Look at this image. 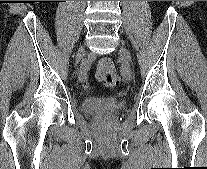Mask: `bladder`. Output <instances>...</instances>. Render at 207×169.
I'll return each instance as SVG.
<instances>
[{"label":"bladder","instance_id":"bladder-1","mask_svg":"<svg viewBox=\"0 0 207 169\" xmlns=\"http://www.w3.org/2000/svg\"><path fill=\"white\" fill-rule=\"evenodd\" d=\"M123 106V102L116 97L87 96L82 101V107L88 113L117 112Z\"/></svg>","mask_w":207,"mask_h":169}]
</instances>
